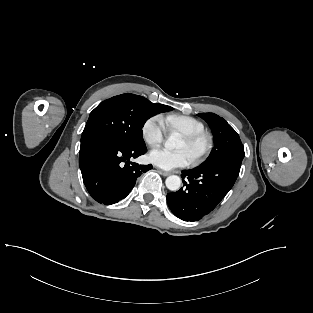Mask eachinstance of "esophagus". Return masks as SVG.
<instances>
[{
  "instance_id": "obj_1",
  "label": "esophagus",
  "mask_w": 313,
  "mask_h": 313,
  "mask_svg": "<svg viewBox=\"0 0 313 313\" xmlns=\"http://www.w3.org/2000/svg\"><path fill=\"white\" fill-rule=\"evenodd\" d=\"M158 172L163 175V176H169L171 173L170 172H167V171H163L161 169H158Z\"/></svg>"
}]
</instances>
